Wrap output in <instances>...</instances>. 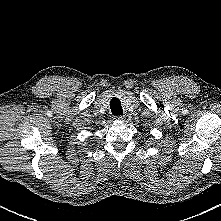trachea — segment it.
Here are the masks:
<instances>
[{
    "label": "trachea",
    "instance_id": "3493384b",
    "mask_svg": "<svg viewBox=\"0 0 221 221\" xmlns=\"http://www.w3.org/2000/svg\"><path fill=\"white\" fill-rule=\"evenodd\" d=\"M110 108H111V112L113 115H122L123 114V109L121 106V102L118 98H112L110 101Z\"/></svg>",
    "mask_w": 221,
    "mask_h": 221
}]
</instances>
